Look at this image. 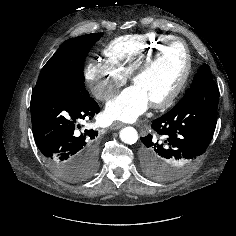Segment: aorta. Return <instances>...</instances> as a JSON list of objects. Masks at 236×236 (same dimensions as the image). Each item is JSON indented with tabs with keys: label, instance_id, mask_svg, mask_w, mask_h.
Masks as SVG:
<instances>
[{
	"label": "aorta",
	"instance_id": "762f6f07",
	"mask_svg": "<svg viewBox=\"0 0 236 236\" xmlns=\"http://www.w3.org/2000/svg\"><path fill=\"white\" fill-rule=\"evenodd\" d=\"M120 139L122 142L132 145L138 140V133L135 128L128 126L124 127L120 131Z\"/></svg>",
	"mask_w": 236,
	"mask_h": 236
}]
</instances>
